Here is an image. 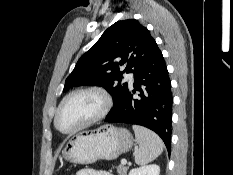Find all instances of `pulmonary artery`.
<instances>
[{"label": "pulmonary artery", "instance_id": "obj_1", "mask_svg": "<svg viewBox=\"0 0 233 175\" xmlns=\"http://www.w3.org/2000/svg\"><path fill=\"white\" fill-rule=\"evenodd\" d=\"M127 79H128L130 82H133V80H134L133 74H132V73L128 74V75H127Z\"/></svg>", "mask_w": 233, "mask_h": 175}]
</instances>
